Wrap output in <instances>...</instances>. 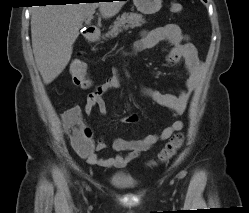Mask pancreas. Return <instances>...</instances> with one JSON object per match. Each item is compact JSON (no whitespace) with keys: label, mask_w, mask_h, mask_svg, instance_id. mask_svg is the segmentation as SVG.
<instances>
[{"label":"pancreas","mask_w":249,"mask_h":213,"mask_svg":"<svg viewBox=\"0 0 249 213\" xmlns=\"http://www.w3.org/2000/svg\"><path fill=\"white\" fill-rule=\"evenodd\" d=\"M145 19L143 16L138 13L130 12L123 13L121 16L117 17L116 21H114L113 25L110 26V30L105 34L106 38L116 37L123 30H127L128 28L141 27L145 23Z\"/></svg>","instance_id":"obj_1"}]
</instances>
